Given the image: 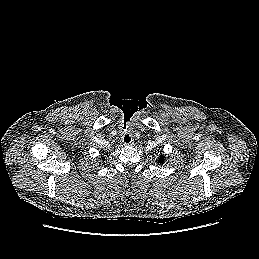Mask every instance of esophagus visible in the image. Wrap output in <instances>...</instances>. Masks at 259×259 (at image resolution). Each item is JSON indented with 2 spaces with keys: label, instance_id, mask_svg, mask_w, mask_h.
Masks as SVG:
<instances>
[{
  "label": "esophagus",
  "instance_id": "34e87169",
  "mask_svg": "<svg viewBox=\"0 0 259 259\" xmlns=\"http://www.w3.org/2000/svg\"><path fill=\"white\" fill-rule=\"evenodd\" d=\"M122 142L124 145H132V143H133L132 136L129 133H125L122 136Z\"/></svg>",
  "mask_w": 259,
  "mask_h": 259
}]
</instances>
